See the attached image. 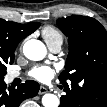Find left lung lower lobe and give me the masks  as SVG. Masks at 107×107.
<instances>
[{"label": "left lung lower lobe", "instance_id": "0a47b994", "mask_svg": "<svg viewBox=\"0 0 107 107\" xmlns=\"http://www.w3.org/2000/svg\"><path fill=\"white\" fill-rule=\"evenodd\" d=\"M81 96L77 100L71 94V89L64 88L66 95L61 97L59 107H107V85L83 86Z\"/></svg>", "mask_w": 107, "mask_h": 107}]
</instances>
